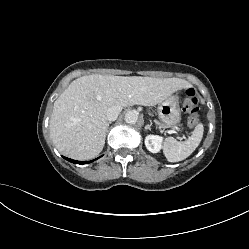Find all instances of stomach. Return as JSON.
I'll return each mask as SVG.
<instances>
[{
  "label": "stomach",
  "instance_id": "0dacf381",
  "mask_svg": "<svg viewBox=\"0 0 249 249\" xmlns=\"http://www.w3.org/2000/svg\"><path fill=\"white\" fill-rule=\"evenodd\" d=\"M158 116L166 127H175L181 120L177 96H169L158 105Z\"/></svg>",
  "mask_w": 249,
  "mask_h": 249
}]
</instances>
